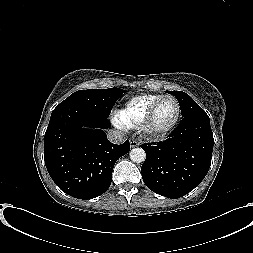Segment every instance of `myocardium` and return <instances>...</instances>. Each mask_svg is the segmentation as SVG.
Here are the masks:
<instances>
[{"label":"myocardium","instance_id":"obj_1","mask_svg":"<svg viewBox=\"0 0 253 253\" xmlns=\"http://www.w3.org/2000/svg\"><path fill=\"white\" fill-rule=\"evenodd\" d=\"M164 99H172L176 104L177 111H176V115L173 121L168 126L162 129H158L154 126V119H155L158 107ZM180 116H181V105L178 99L173 95H169V94L162 95L149 108L143 122L141 123V130L149 138H153V139L163 138L175 128V126L177 125L180 119Z\"/></svg>","mask_w":253,"mask_h":253}]
</instances>
